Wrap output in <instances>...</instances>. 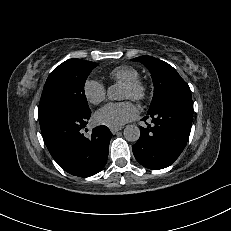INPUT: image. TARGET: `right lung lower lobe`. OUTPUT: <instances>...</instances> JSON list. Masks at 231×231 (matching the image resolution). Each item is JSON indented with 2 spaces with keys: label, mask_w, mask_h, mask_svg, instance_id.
<instances>
[{
  "label": "right lung lower lobe",
  "mask_w": 231,
  "mask_h": 231,
  "mask_svg": "<svg viewBox=\"0 0 231 231\" xmlns=\"http://www.w3.org/2000/svg\"><path fill=\"white\" fill-rule=\"evenodd\" d=\"M88 113H63L40 124L46 146L55 161L71 175L90 177L103 169L108 157L109 129L98 126L90 138L82 134Z\"/></svg>",
  "instance_id": "obj_1"
}]
</instances>
